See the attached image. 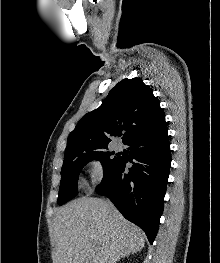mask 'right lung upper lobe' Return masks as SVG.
<instances>
[{
    "label": "right lung upper lobe",
    "mask_w": 220,
    "mask_h": 263,
    "mask_svg": "<svg viewBox=\"0 0 220 263\" xmlns=\"http://www.w3.org/2000/svg\"><path fill=\"white\" fill-rule=\"evenodd\" d=\"M122 131L124 144L140 135L152 137L167 131L158 99L140 78L123 79L99 108L81 118L68 137L65 154L108 148L110 138Z\"/></svg>",
    "instance_id": "cb5924a9"
}]
</instances>
